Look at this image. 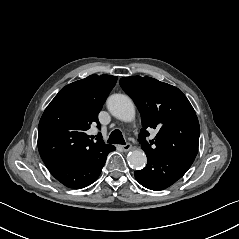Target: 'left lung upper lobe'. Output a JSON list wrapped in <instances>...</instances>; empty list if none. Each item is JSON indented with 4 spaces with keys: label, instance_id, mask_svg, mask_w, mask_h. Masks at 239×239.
Here are the masks:
<instances>
[{
    "label": "left lung upper lobe",
    "instance_id": "obj_1",
    "mask_svg": "<svg viewBox=\"0 0 239 239\" xmlns=\"http://www.w3.org/2000/svg\"><path fill=\"white\" fill-rule=\"evenodd\" d=\"M120 85L133 99L141 114L143 128L140 138L149 136V128L159 130L154 140L140 142L145 153L196 157L199 122L181 90L154 78L140 76L121 78Z\"/></svg>",
    "mask_w": 239,
    "mask_h": 239
}]
</instances>
